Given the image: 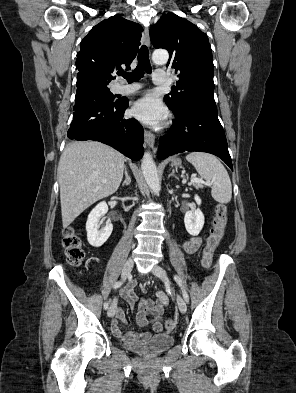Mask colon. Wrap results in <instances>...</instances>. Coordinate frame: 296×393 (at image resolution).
<instances>
[{"mask_svg":"<svg viewBox=\"0 0 296 393\" xmlns=\"http://www.w3.org/2000/svg\"><path fill=\"white\" fill-rule=\"evenodd\" d=\"M215 216L212 223V228L207 239L206 246L203 249L202 265L205 268H210L213 259V253L219 243L221 242L227 224V207L222 203H218L214 208ZM63 247L67 260L72 265H79L84 259L85 252L82 246V241L79 235L72 227H67L63 232ZM147 319H152L151 314L146 315ZM167 330L175 328V321L167 320L165 322Z\"/></svg>","mask_w":296,"mask_h":393,"instance_id":"obj_1","label":"colon"}]
</instances>
